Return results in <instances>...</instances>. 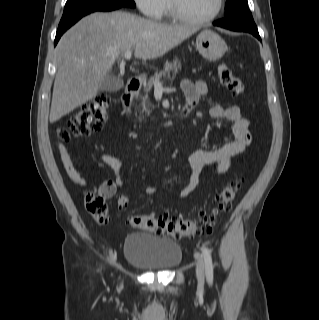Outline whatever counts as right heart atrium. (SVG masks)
<instances>
[{
    "instance_id": "1",
    "label": "right heart atrium",
    "mask_w": 319,
    "mask_h": 320,
    "mask_svg": "<svg viewBox=\"0 0 319 320\" xmlns=\"http://www.w3.org/2000/svg\"><path fill=\"white\" fill-rule=\"evenodd\" d=\"M139 10L147 17L160 18L167 8V0H134Z\"/></svg>"
}]
</instances>
